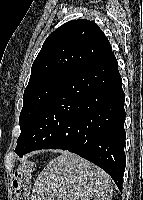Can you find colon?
<instances>
[{"label": "colon", "instance_id": "5ec220e1", "mask_svg": "<svg viewBox=\"0 0 143 200\" xmlns=\"http://www.w3.org/2000/svg\"><path fill=\"white\" fill-rule=\"evenodd\" d=\"M35 161L28 159L23 161L14 174V200H29L31 181L35 170Z\"/></svg>", "mask_w": 143, "mask_h": 200}]
</instances>
